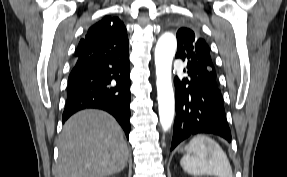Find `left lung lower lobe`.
Masks as SVG:
<instances>
[{
  "instance_id": "left-lung-lower-lobe-1",
  "label": "left lung lower lobe",
  "mask_w": 287,
  "mask_h": 177,
  "mask_svg": "<svg viewBox=\"0 0 287 177\" xmlns=\"http://www.w3.org/2000/svg\"><path fill=\"white\" fill-rule=\"evenodd\" d=\"M184 72L188 74L187 77L174 79L176 118L171 150L196 133L217 134L230 142L231 132L218 84L207 83L188 67Z\"/></svg>"
}]
</instances>
